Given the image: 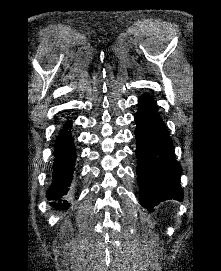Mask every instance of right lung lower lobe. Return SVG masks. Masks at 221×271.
I'll return each instance as SVG.
<instances>
[{"label":"right lung lower lobe","instance_id":"1","mask_svg":"<svg viewBox=\"0 0 221 271\" xmlns=\"http://www.w3.org/2000/svg\"><path fill=\"white\" fill-rule=\"evenodd\" d=\"M72 127L71 121H67L60 130L54 145V163L52 168L53 181L47 197L53 200L52 206L60 209L67 210L69 204L67 200H61L62 196L67 194L73 179L74 162L76 159V148L74 145L73 137L70 133Z\"/></svg>","mask_w":221,"mask_h":271}]
</instances>
